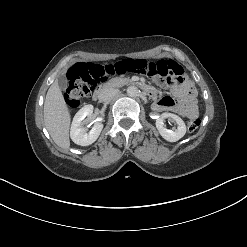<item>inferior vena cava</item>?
Masks as SVG:
<instances>
[{
	"label": "inferior vena cava",
	"instance_id": "obj_1",
	"mask_svg": "<svg viewBox=\"0 0 247 247\" xmlns=\"http://www.w3.org/2000/svg\"><path fill=\"white\" fill-rule=\"evenodd\" d=\"M117 94H118V89H114V88L105 89L100 94V100L104 102L109 101Z\"/></svg>",
	"mask_w": 247,
	"mask_h": 247
}]
</instances>
